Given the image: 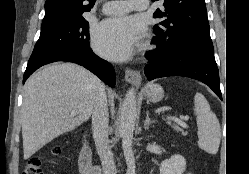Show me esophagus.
I'll use <instances>...</instances> for the list:
<instances>
[{
  "label": "esophagus",
  "mask_w": 249,
  "mask_h": 174,
  "mask_svg": "<svg viewBox=\"0 0 249 174\" xmlns=\"http://www.w3.org/2000/svg\"><path fill=\"white\" fill-rule=\"evenodd\" d=\"M125 80L133 85H139L141 83L142 77L140 72L131 69H126Z\"/></svg>",
  "instance_id": "obj_1"
}]
</instances>
